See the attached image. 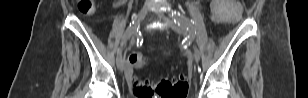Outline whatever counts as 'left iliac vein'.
<instances>
[{
    "instance_id": "4c4485c4",
    "label": "left iliac vein",
    "mask_w": 308,
    "mask_h": 98,
    "mask_svg": "<svg viewBox=\"0 0 308 98\" xmlns=\"http://www.w3.org/2000/svg\"><path fill=\"white\" fill-rule=\"evenodd\" d=\"M156 15H157V17L160 20H162L165 23H167L175 32H177L178 34H181V35H186L185 29L183 27H180L177 23H175L173 21L172 18H170L169 16L165 15L162 11L156 10ZM193 57H194L196 62H199V60H200V53H199L198 49L195 46L193 47Z\"/></svg>"
}]
</instances>
